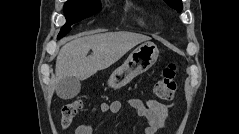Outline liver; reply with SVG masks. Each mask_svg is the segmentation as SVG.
<instances>
[{"mask_svg": "<svg viewBox=\"0 0 239 134\" xmlns=\"http://www.w3.org/2000/svg\"><path fill=\"white\" fill-rule=\"evenodd\" d=\"M150 37L132 32H109L76 38L65 44L56 60V84L66 77L85 80L110 67ZM92 50L93 54L87 56Z\"/></svg>", "mask_w": 239, "mask_h": 134, "instance_id": "6515ba94", "label": "liver"}]
</instances>
